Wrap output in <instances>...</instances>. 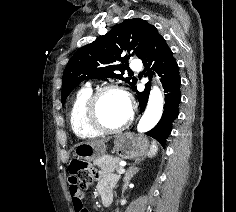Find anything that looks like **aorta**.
Wrapping results in <instances>:
<instances>
[{
    "mask_svg": "<svg viewBox=\"0 0 236 212\" xmlns=\"http://www.w3.org/2000/svg\"><path fill=\"white\" fill-rule=\"evenodd\" d=\"M164 99L160 89L153 86L144 114L138 122L137 130L141 133L151 130L160 120L163 113Z\"/></svg>",
    "mask_w": 236,
    "mask_h": 212,
    "instance_id": "obj_1",
    "label": "aorta"
}]
</instances>
